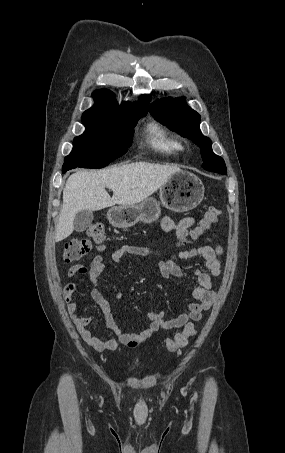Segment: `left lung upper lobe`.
Instances as JSON below:
<instances>
[{
	"mask_svg": "<svg viewBox=\"0 0 285 453\" xmlns=\"http://www.w3.org/2000/svg\"><path fill=\"white\" fill-rule=\"evenodd\" d=\"M152 116L172 131L191 139L199 148L205 170L226 174L227 169L222 157L212 151L211 140L200 129L199 114L187 106L184 98L157 100L150 105Z\"/></svg>",
	"mask_w": 285,
	"mask_h": 453,
	"instance_id": "left-lung-upper-lobe-1",
	"label": "left lung upper lobe"
}]
</instances>
